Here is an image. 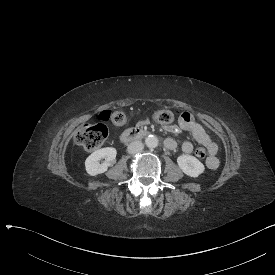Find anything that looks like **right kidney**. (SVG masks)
I'll return each instance as SVG.
<instances>
[{
  "mask_svg": "<svg viewBox=\"0 0 275 275\" xmlns=\"http://www.w3.org/2000/svg\"><path fill=\"white\" fill-rule=\"evenodd\" d=\"M117 150L114 147H106L93 152L85 160V171L90 176H98L108 170L109 166L116 163ZM105 158V163L99 161Z\"/></svg>",
  "mask_w": 275,
  "mask_h": 275,
  "instance_id": "obj_1",
  "label": "right kidney"
}]
</instances>
